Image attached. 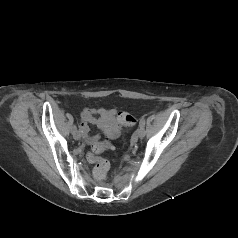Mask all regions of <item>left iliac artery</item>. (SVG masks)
<instances>
[{"label":"left iliac artery","instance_id":"44dca946","mask_svg":"<svg viewBox=\"0 0 238 238\" xmlns=\"http://www.w3.org/2000/svg\"><path fill=\"white\" fill-rule=\"evenodd\" d=\"M139 126L140 127H144L145 126V119L141 118L140 122H139Z\"/></svg>","mask_w":238,"mask_h":238}]
</instances>
